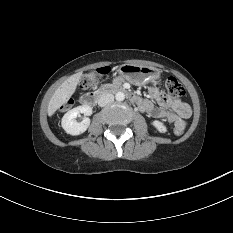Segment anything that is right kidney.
I'll list each match as a JSON object with an SVG mask.
<instances>
[{
	"label": "right kidney",
	"mask_w": 233,
	"mask_h": 233,
	"mask_svg": "<svg viewBox=\"0 0 233 233\" xmlns=\"http://www.w3.org/2000/svg\"><path fill=\"white\" fill-rule=\"evenodd\" d=\"M79 114L84 116H90L92 114V108L88 105H82L69 110L62 118V128L66 133L70 135H80L84 133L90 125V119L85 117L81 122H77L75 119Z\"/></svg>",
	"instance_id": "right-kidney-1"
}]
</instances>
